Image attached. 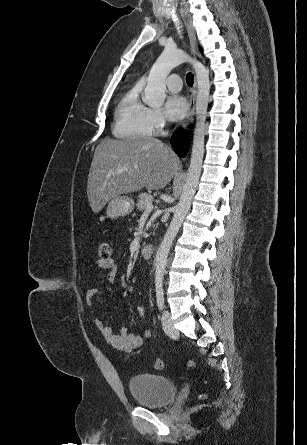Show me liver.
I'll list each match as a JSON object with an SVG mask.
<instances>
[{
    "instance_id": "liver-1",
    "label": "liver",
    "mask_w": 307,
    "mask_h": 445,
    "mask_svg": "<svg viewBox=\"0 0 307 445\" xmlns=\"http://www.w3.org/2000/svg\"><path fill=\"white\" fill-rule=\"evenodd\" d=\"M178 160L169 146L153 136L113 140L97 144L91 162L87 194L93 212H100L108 200L141 190H158L169 184ZM110 170H122L110 174Z\"/></svg>"
}]
</instances>
